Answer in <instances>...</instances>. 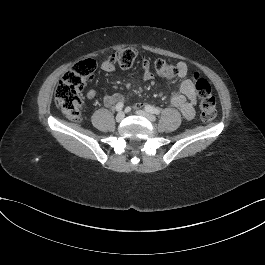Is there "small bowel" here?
<instances>
[{"label": "small bowel", "mask_w": 265, "mask_h": 265, "mask_svg": "<svg viewBox=\"0 0 265 265\" xmlns=\"http://www.w3.org/2000/svg\"><path fill=\"white\" fill-rule=\"evenodd\" d=\"M178 70V76L180 81L175 85V90L171 95V103L177 107L182 116L191 120L196 114V106L198 104L197 93L195 85L191 80L187 78L188 75V65L184 61H180L176 65ZM141 68L143 72V78L146 81H151L154 78V74L151 71L150 63L147 59L143 58L141 61ZM102 69L104 71H113L115 67L106 60L102 63ZM97 95L95 89H90L86 93L87 99H94ZM123 101V96L120 93L107 94L103 98V102L106 106H113L116 103Z\"/></svg>", "instance_id": "1"}]
</instances>
